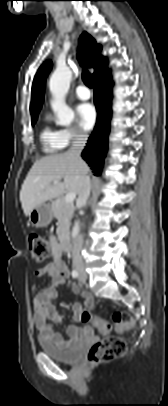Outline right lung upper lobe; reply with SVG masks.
<instances>
[{"instance_id": "right-lung-upper-lobe-1", "label": "right lung upper lobe", "mask_w": 168, "mask_h": 406, "mask_svg": "<svg viewBox=\"0 0 168 406\" xmlns=\"http://www.w3.org/2000/svg\"><path fill=\"white\" fill-rule=\"evenodd\" d=\"M79 45L86 65L95 69L93 73L94 80L109 73V70L107 68V60L100 55L101 46L98 45L88 33L84 32L80 36ZM51 68L52 62L46 61L39 68L34 78L32 86V100L30 105L32 120L37 119L38 113L42 107L44 99L45 80Z\"/></svg>"}]
</instances>
